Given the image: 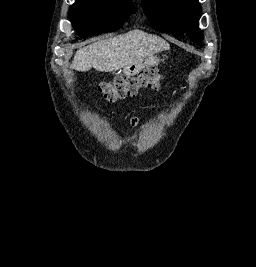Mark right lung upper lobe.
I'll use <instances>...</instances> for the list:
<instances>
[{"mask_svg":"<svg viewBox=\"0 0 256 267\" xmlns=\"http://www.w3.org/2000/svg\"><path fill=\"white\" fill-rule=\"evenodd\" d=\"M121 1H131V0H121Z\"/></svg>","mask_w":256,"mask_h":267,"instance_id":"1","label":"right lung upper lobe"}]
</instances>
